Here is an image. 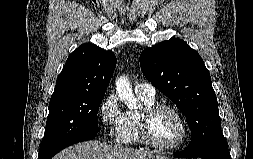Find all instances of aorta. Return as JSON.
Instances as JSON below:
<instances>
[{"label": "aorta", "instance_id": "obj_1", "mask_svg": "<svg viewBox=\"0 0 253 159\" xmlns=\"http://www.w3.org/2000/svg\"><path fill=\"white\" fill-rule=\"evenodd\" d=\"M116 91L119 98L127 105L129 109H138L139 100L134 96L132 86L127 77L121 76L116 81Z\"/></svg>", "mask_w": 253, "mask_h": 159}]
</instances>
